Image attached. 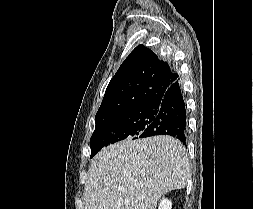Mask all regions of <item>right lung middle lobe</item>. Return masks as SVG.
I'll return each instance as SVG.
<instances>
[{"instance_id": "dd1d6c3e", "label": "right lung middle lobe", "mask_w": 253, "mask_h": 209, "mask_svg": "<svg viewBox=\"0 0 253 209\" xmlns=\"http://www.w3.org/2000/svg\"><path fill=\"white\" fill-rule=\"evenodd\" d=\"M156 114L154 107L141 106L116 117L95 121V131L90 139L91 158L109 144L126 138L138 139L155 119Z\"/></svg>"}]
</instances>
